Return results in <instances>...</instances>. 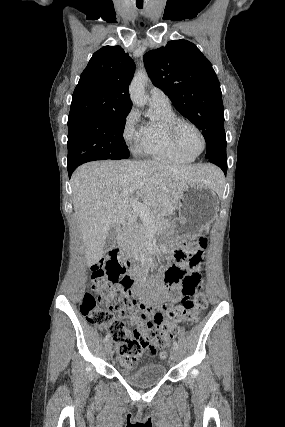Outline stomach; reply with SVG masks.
Masks as SVG:
<instances>
[{
  "label": "stomach",
  "instance_id": "0dacf381",
  "mask_svg": "<svg viewBox=\"0 0 285 427\" xmlns=\"http://www.w3.org/2000/svg\"><path fill=\"white\" fill-rule=\"evenodd\" d=\"M219 200L216 190L203 183L184 188L178 202V217L170 226L172 233L194 237L216 218Z\"/></svg>",
  "mask_w": 285,
  "mask_h": 427
}]
</instances>
